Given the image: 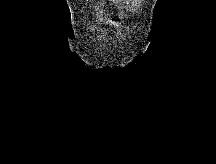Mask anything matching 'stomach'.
Returning <instances> with one entry per match:
<instances>
[{
	"label": "stomach",
	"mask_w": 216,
	"mask_h": 164,
	"mask_svg": "<svg viewBox=\"0 0 216 164\" xmlns=\"http://www.w3.org/2000/svg\"><path fill=\"white\" fill-rule=\"evenodd\" d=\"M113 3H118V0H113ZM108 19H109V20H112V19H113V16H112V15H109V16H108Z\"/></svg>",
	"instance_id": "0dacf381"
}]
</instances>
